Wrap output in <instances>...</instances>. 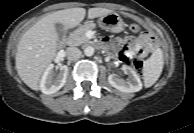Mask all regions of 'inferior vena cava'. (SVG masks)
Here are the masks:
<instances>
[{"instance_id":"obj_1","label":"inferior vena cava","mask_w":194,"mask_h":133,"mask_svg":"<svg viewBox=\"0 0 194 133\" xmlns=\"http://www.w3.org/2000/svg\"><path fill=\"white\" fill-rule=\"evenodd\" d=\"M66 53L69 60H77L81 57L80 49L75 47H69Z\"/></svg>"}]
</instances>
